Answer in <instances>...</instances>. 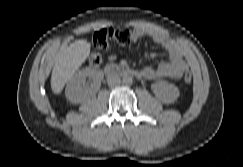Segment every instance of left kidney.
Returning a JSON list of instances; mask_svg holds the SVG:
<instances>
[{"mask_svg": "<svg viewBox=\"0 0 243 167\" xmlns=\"http://www.w3.org/2000/svg\"><path fill=\"white\" fill-rule=\"evenodd\" d=\"M151 89L156 98L165 104L174 103L180 95L179 89L174 84L165 81L152 84Z\"/></svg>", "mask_w": 243, "mask_h": 167, "instance_id": "5707ae66", "label": "left kidney"}]
</instances>
